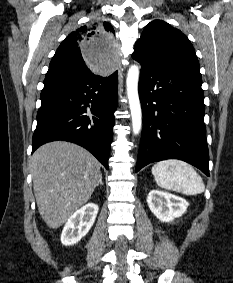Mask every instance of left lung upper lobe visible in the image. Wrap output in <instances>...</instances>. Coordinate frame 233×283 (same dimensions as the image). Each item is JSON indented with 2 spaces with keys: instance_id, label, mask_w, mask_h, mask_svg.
Returning <instances> with one entry per match:
<instances>
[{
  "instance_id": "left-lung-upper-lobe-1",
  "label": "left lung upper lobe",
  "mask_w": 233,
  "mask_h": 283,
  "mask_svg": "<svg viewBox=\"0 0 233 283\" xmlns=\"http://www.w3.org/2000/svg\"><path fill=\"white\" fill-rule=\"evenodd\" d=\"M133 58L153 66H182L200 70L194 48L178 29L161 20L146 25L134 46Z\"/></svg>"
}]
</instances>
